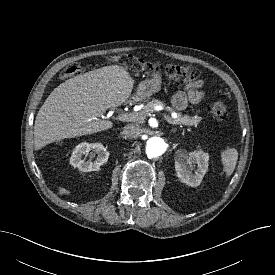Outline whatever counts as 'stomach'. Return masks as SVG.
I'll return each instance as SVG.
<instances>
[{
  "mask_svg": "<svg viewBox=\"0 0 275 275\" xmlns=\"http://www.w3.org/2000/svg\"><path fill=\"white\" fill-rule=\"evenodd\" d=\"M162 79L159 73L153 75L151 79H147L139 83L136 90V97L141 99L150 97L152 94L161 89Z\"/></svg>",
  "mask_w": 275,
  "mask_h": 275,
  "instance_id": "stomach-1",
  "label": "stomach"
}]
</instances>
